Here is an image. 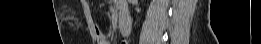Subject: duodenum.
<instances>
[{
	"label": "duodenum",
	"mask_w": 261,
	"mask_h": 44,
	"mask_svg": "<svg viewBox=\"0 0 261 44\" xmlns=\"http://www.w3.org/2000/svg\"><path fill=\"white\" fill-rule=\"evenodd\" d=\"M118 24L120 31L123 35H129L130 33V20L127 16L126 12L123 10H120L119 17H118Z\"/></svg>",
	"instance_id": "obj_1"
}]
</instances>
